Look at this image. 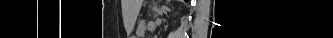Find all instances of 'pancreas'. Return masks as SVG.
I'll return each instance as SVG.
<instances>
[{
  "label": "pancreas",
  "instance_id": "cf45deb5",
  "mask_svg": "<svg viewBox=\"0 0 333 38\" xmlns=\"http://www.w3.org/2000/svg\"><path fill=\"white\" fill-rule=\"evenodd\" d=\"M139 32H140V35L142 36L144 34V25H139Z\"/></svg>",
  "mask_w": 333,
  "mask_h": 38
}]
</instances>
